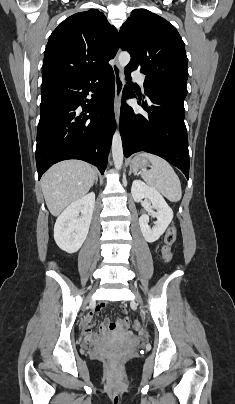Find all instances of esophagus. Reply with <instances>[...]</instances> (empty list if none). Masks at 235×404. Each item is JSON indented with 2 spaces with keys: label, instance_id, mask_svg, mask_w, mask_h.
I'll use <instances>...</instances> for the list:
<instances>
[{
  "label": "esophagus",
  "instance_id": "esophagus-1",
  "mask_svg": "<svg viewBox=\"0 0 235 404\" xmlns=\"http://www.w3.org/2000/svg\"><path fill=\"white\" fill-rule=\"evenodd\" d=\"M118 53L115 57V63L113 64V72L115 77V97H114V112L116 121L119 120L120 106H121V95L124 86L123 71L117 61Z\"/></svg>",
  "mask_w": 235,
  "mask_h": 404
}]
</instances>
